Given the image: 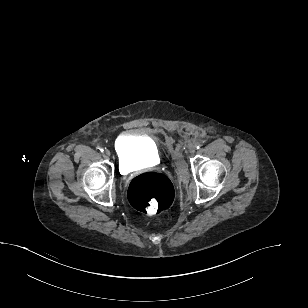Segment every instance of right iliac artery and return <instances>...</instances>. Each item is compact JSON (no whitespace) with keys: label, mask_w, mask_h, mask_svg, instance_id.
<instances>
[{"label":"right iliac artery","mask_w":308,"mask_h":308,"mask_svg":"<svg viewBox=\"0 0 308 308\" xmlns=\"http://www.w3.org/2000/svg\"><path fill=\"white\" fill-rule=\"evenodd\" d=\"M101 152H103L104 151V149L103 148H98Z\"/></svg>","instance_id":"1"}]
</instances>
